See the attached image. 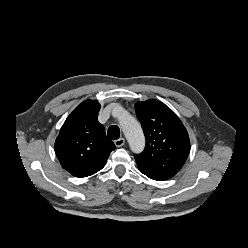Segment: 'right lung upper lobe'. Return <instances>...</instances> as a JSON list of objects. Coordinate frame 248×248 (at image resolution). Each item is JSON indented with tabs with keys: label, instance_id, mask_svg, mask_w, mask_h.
I'll return each mask as SVG.
<instances>
[{
	"label": "right lung upper lobe",
	"instance_id": "cb5924a9",
	"mask_svg": "<svg viewBox=\"0 0 248 248\" xmlns=\"http://www.w3.org/2000/svg\"><path fill=\"white\" fill-rule=\"evenodd\" d=\"M99 110L97 101H83L68 116L56 138V156L75 177H87L101 170L116 148L98 122Z\"/></svg>",
	"mask_w": 248,
	"mask_h": 248
}]
</instances>
